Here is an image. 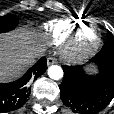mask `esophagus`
Segmentation results:
<instances>
[{
	"instance_id": "1",
	"label": "esophagus",
	"mask_w": 114,
	"mask_h": 114,
	"mask_svg": "<svg viewBox=\"0 0 114 114\" xmlns=\"http://www.w3.org/2000/svg\"><path fill=\"white\" fill-rule=\"evenodd\" d=\"M56 63H57V59L55 57L47 58V65L48 66H51V65L56 64Z\"/></svg>"
}]
</instances>
